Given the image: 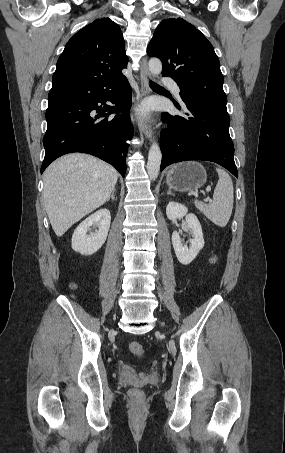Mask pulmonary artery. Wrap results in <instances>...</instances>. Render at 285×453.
<instances>
[{"mask_svg": "<svg viewBox=\"0 0 285 453\" xmlns=\"http://www.w3.org/2000/svg\"><path fill=\"white\" fill-rule=\"evenodd\" d=\"M164 83L171 88V90L173 91V93L175 94V96L177 98H180V93H181V90L179 88V86L177 85L176 82H174L173 80L171 79H165L164 80Z\"/></svg>", "mask_w": 285, "mask_h": 453, "instance_id": "1", "label": "pulmonary artery"}]
</instances>
